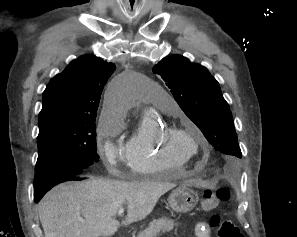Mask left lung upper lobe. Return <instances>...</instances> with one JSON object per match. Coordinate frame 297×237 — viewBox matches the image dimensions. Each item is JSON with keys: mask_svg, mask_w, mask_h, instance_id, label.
<instances>
[{"mask_svg": "<svg viewBox=\"0 0 297 237\" xmlns=\"http://www.w3.org/2000/svg\"><path fill=\"white\" fill-rule=\"evenodd\" d=\"M153 73L162 77L181 109L217 151L241 158L229 105L205 67L174 55L155 65Z\"/></svg>", "mask_w": 297, "mask_h": 237, "instance_id": "5c2ea615", "label": "left lung upper lobe"}]
</instances>
